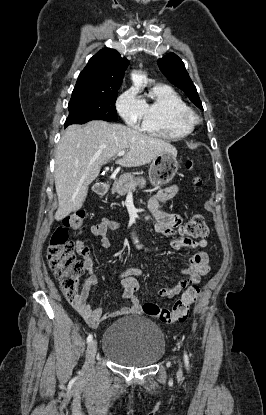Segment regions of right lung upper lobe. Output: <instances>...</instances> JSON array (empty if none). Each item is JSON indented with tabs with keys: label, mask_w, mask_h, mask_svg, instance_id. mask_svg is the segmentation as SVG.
<instances>
[{
	"label": "right lung upper lobe",
	"mask_w": 266,
	"mask_h": 415,
	"mask_svg": "<svg viewBox=\"0 0 266 415\" xmlns=\"http://www.w3.org/2000/svg\"><path fill=\"white\" fill-rule=\"evenodd\" d=\"M129 61L115 49L104 48L91 57L79 74L73 93L118 91Z\"/></svg>",
	"instance_id": "obj_1"
}]
</instances>
